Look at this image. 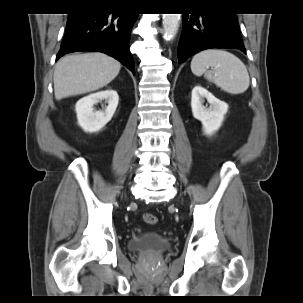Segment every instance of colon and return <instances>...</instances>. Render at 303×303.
Segmentation results:
<instances>
[{
    "instance_id": "1",
    "label": "colon",
    "mask_w": 303,
    "mask_h": 303,
    "mask_svg": "<svg viewBox=\"0 0 303 303\" xmlns=\"http://www.w3.org/2000/svg\"><path fill=\"white\" fill-rule=\"evenodd\" d=\"M143 218L147 224L153 225L157 223V217L153 214L150 213L144 214Z\"/></svg>"
}]
</instances>
